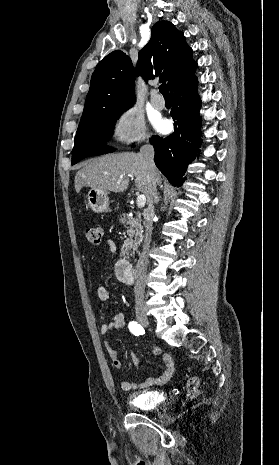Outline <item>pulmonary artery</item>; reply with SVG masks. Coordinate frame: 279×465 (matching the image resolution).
Masks as SVG:
<instances>
[{
	"instance_id": "pulmonary-artery-1",
	"label": "pulmonary artery",
	"mask_w": 279,
	"mask_h": 465,
	"mask_svg": "<svg viewBox=\"0 0 279 465\" xmlns=\"http://www.w3.org/2000/svg\"><path fill=\"white\" fill-rule=\"evenodd\" d=\"M151 104L156 109H163L165 107V100L154 90L151 93Z\"/></svg>"
}]
</instances>
